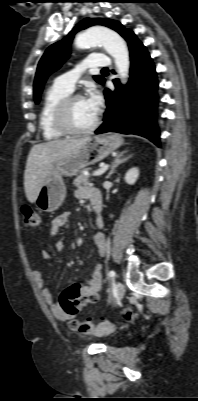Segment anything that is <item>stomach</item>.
Here are the masks:
<instances>
[{"label":"stomach","mask_w":198,"mask_h":401,"mask_svg":"<svg viewBox=\"0 0 198 401\" xmlns=\"http://www.w3.org/2000/svg\"><path fill=\"white\" fill-rule=\"evenodd\" d=\"M123 138L114 133L94 136L67 157L57 161L36 198L37 207L44 212H54L63 204L66 186L63 176L77 175L90 163L106 158L123 145Z\"/></svg>","instance_id":"0dacf381"}]
</instances>
